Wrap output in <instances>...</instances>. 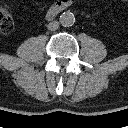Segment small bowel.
I'll list each match as a JSON object with an SVG mask.
<instances>
[{
	"mask_svg": "<svg viewBox=\"0 0 128 128\" xmlns=\"http://www.w3.org/2000/svg\"><path fill=\"white\" fill-rule=\"evenodd\" d=\"M122 1L127 2L128 0H122Z\"/></svg>",
	"mask_w": 128,
	"mask_h": 128,
	"instance_id": "small-bowel-1",
	"label": "small bowel"
}]
</instances>
